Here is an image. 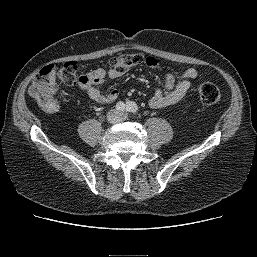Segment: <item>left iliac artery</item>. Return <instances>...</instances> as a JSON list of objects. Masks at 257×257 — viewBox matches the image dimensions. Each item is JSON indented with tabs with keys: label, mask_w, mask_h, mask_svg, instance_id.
I'll return each instance as SVG.
<instances>
[{
	"label": "left iliac artery",
	"mask_w": 257,
	"mask_h": 257,
	"mask_svg": "<svg viewBox=\"0 0 257 257\" xmlns=\"http://www.w3.org/2000/svg\"><path fill=\"white\" fill-rule=\"evenodd\" d=\"M126 111L136 113L138 111V106L135 102H127L126 104Z\"/></svg>",
	"instance_id": "obj_1"
}]
</instances>
